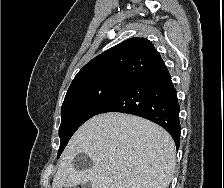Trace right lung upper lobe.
Listing matches in <instances>:
<instances>
[{
  "label": "right lung upper lobe",
  "mask_w": 224,
  "mask_h": 188,
  "mask_svg": "<svg viewBox=\"0 0 224 188\" xmlns=\"http://www.w3.org/2000/svg\"><path fill=\"white\" fill-rule=\"evenodd\" d=\"M162 61L149 40L130 38L89 61L78 72L70 86L110 77L134 79Z\"/></svg>",
  "instance_id": "cb5924a9"
}]
</instances>
